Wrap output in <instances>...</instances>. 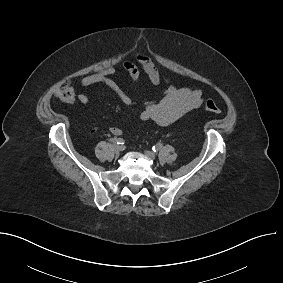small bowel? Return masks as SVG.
I'll use <instances>...</instances> for the list:
<instances>
[{"instance_id":"1","label":"small bowel","mask_w":283,"mask_h":283,"mask_svg":"<svg viewBox=\"0 0 283 283\" xmlns=\"http://www.w3.org/2000/svg\"><path fill=\"white\" fill-rule=\"evenodd\" d=\"M122 67L135 84L140 80L141 70L147 75L148 81L152 85H158L161 81H168L167 77L156 65L154 60L143 53L136 56V62L130 60L123 61ZM115 74L116 70L113 67L102 68L96 73L83 76L80 79V84L83 87L103 84L110 88L123 104L127 106L133 105L134 99L123 91L113 79ZM77 99L81 104L88 102V97L85 94H79ZM202 102L203 97L200 90L177 88L170 84L165 89L160 100H146L143 102L140 118L143 121L151 120L158 125L167 126L177 121L186 113L199 108ZM110 132L115 136H120L123 133V129L118 126H113L110 128Z\"/></svg>"}]
</instances>
